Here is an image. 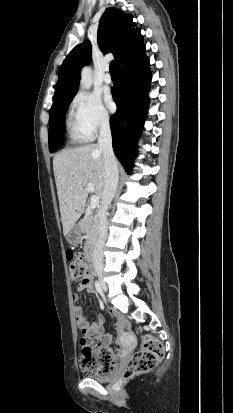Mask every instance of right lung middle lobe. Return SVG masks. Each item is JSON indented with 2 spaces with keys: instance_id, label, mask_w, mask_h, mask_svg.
Here are the masks:
<instances>
[{
  "instance_id": "dd1d6c3e",
  "label": "right lung middle lobe",
  "mask_w": 233,
  "mask_h": 413,
  "mask_svg": "<svg viewBox=\"0 0 233 413\" xmlns=\"http://www.w3.org/2000/svg\"><path fill=\"white\" fill-rule=\"evenodd\" d=\"M73 97L52 104L49 117V151L57 150L64 142L65 115Z\"/></svg>"
}]
</instances>
